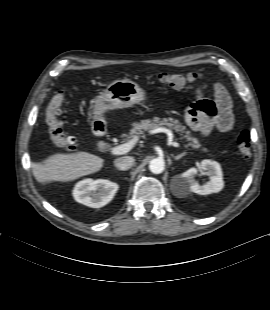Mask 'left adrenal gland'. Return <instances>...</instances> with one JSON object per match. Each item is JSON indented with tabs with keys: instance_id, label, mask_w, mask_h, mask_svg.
Wrapping results in <instances>:
<instances>
[{
	"instance_id": "obj_1",
	"label": "left adrenal gland",
	"mask_w": 270,
	"mask_h": 310,
	"mask_svg": "<svg viewBox=\"0 0 270 310\" xmlns=\"http://www.w3.org/2000/svg\"><path fill=\"white\" fill-rule=\"evenodd\" d=\"M187 153L186 152H183V153H181V154H179V155H177V156H174V159L175 160H179V159H181L183 156H185Z\"/></svg>"
}]
</instances>
